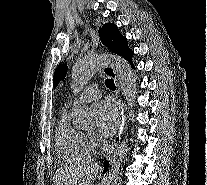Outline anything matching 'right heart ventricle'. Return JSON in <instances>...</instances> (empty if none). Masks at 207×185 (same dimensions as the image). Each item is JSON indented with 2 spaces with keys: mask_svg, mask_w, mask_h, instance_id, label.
I'll use <instances>...</instances> for the list:
<instances>
[{
  "mask_svg": "<svg viewBox=\"0 0 207 185\" xmlns=\"http://www.w3.org/2000/svg\"><path fill=\"white\" fill-rule=\"evenodd\" d=\"M58 151L68 163H87L95 159L98 145L87 133L73 128L66 114L61 117L57 128Z\"/></svg>",
  "mask_w": 207,
  "mask_h": 185,
  "instance_id": "obj_1",
  "label": "right heart ventricle"
}]
</instances>
